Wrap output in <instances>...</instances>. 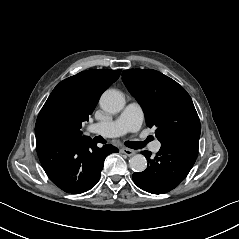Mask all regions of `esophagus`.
<instances>
[{"mask_svg":"<svg viewBox=\"0 0 239 239\" xmlns=\"http://www.w3.org/2000/svg\"><path fill=\"white\" fill-rule=\"evenodd\" d=\"M120 152L126 154L127 156H133L136 153L134 150L128 148H122Z\"/></svg>","mask_w":239,"mask_h":239,"instance_id":"1","label":"esophagus"}]
</instances>
